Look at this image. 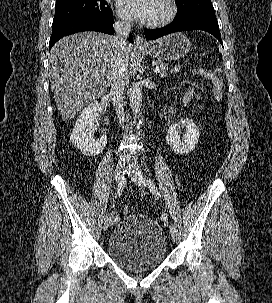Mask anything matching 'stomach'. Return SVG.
I'll return each instance as SVG.
<instances>
[{"label": "stomach", "mask_w": 272, "mask_h": 303, "mask_svg": "<svg viewBox=\"0 0 272 303\" xmlns=\"http://www.w3.org/2000/svg\"><path fill=\"white\" fill-rule=\"evenodd\" d=\"M191 43L182 33H174L156 40L152 45L140 49L141 52L150 55L160 61L179 60L190 50Z\"/></svg>", "instance_id": "stomach-1"}]
</instances>
